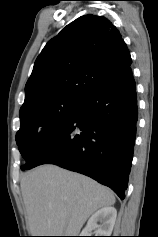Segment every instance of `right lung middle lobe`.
Returning a JSON list of instances; mask_svg holds the SVG:
<instances>
[{
    "instance_id": "right-lung-middle-lobe-1",
    "label": "right lung middle lobe",
    "mask_w": 158,
    "mask_h": 237,
    "mask_svg": "<svg viewBox=\"0 0 158 237\" xmlns=\"http://www.w3.org/2000/svg\"><path fill=\"white\" fill-rule=\"evenodd\" d=\"M83 101L56 98L20 114L21 126L16 134L19 151L26 160L23 169L39 146L68 121Z\"/></svg>"
}]
</instances>
